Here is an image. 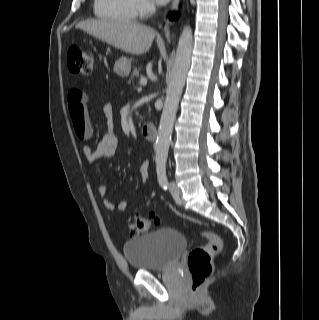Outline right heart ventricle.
Returning a JSON list of instances; mask_svg holds the SVG:
<instances>
[{
  "mask_svg": "<svg viewBox=\"0 0 319 320\" xmlns=\"http://www.w3.org/2000/svg\"><path fill=\"white\" fill-rule=\"evenodd\" d=\"M94 13L103 20L131 23L135 21L137 10L134 0H94Z\"/></svg>",
  "mask_w": 319,
  "mask_h": 320,
  "instance_id": "e07e8e85",
  "label": "right heart ventricle"
}]
</instances>
